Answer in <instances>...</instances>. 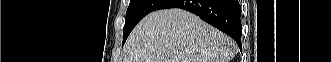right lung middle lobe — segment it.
Masks as SVG:
<instances>
[{
    "label": "right lung middle lobe",
    "instance_id": "dd1d6c3e",
    "mask_svg": "<svg viewBox=\"0 0 331 62\" xmlns=\"http://www.w3.org/2000/svg\"><path fill=\"white\" fill-rule=\"evenodd\" d=\"M171 0H130L123 29V44L136 24L148 13L163 9Z\"/></svg>",
    "mask_w": 331,
    "mask_h": 62
}]
</instances>
